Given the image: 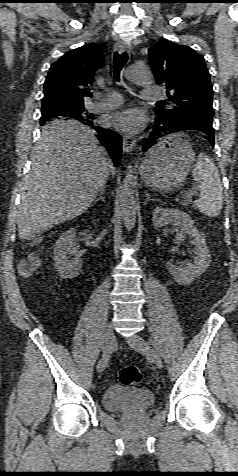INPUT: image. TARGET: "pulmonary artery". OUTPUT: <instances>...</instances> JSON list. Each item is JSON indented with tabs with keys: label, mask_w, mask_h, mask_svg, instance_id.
<instances>
[{
	"label": "pulmonary artery",
	"mask_w": 238,
	"mask_h": 476,
	"mask_svg": "<svg viewBox=\"0 0 238 476\" xmlns=\"http://www.w3.org/2000/svg\"><path fill=\"white\" fill-rule=\"evenodd\" d=\"M146 101H158L165 98V93L156 86L147 87L142 95ZM123 102L122 96L117 92H111L106 97L100 99L94 105L97 109L107 110L120 106Z\"/></svg>",
	"instance_id": "1"
}]
</instances>
